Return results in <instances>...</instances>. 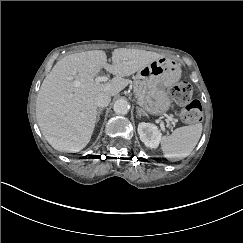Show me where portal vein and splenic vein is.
Listing matches in <instances>:
<instances>
[{
  "label": "portal vein and splenic vein",
  "instance_id": "obj_1",
  "mask_svg": "<svg viewBox=\"0 0 243 243\" xmlns=\"http://www.w3.org/2000/svg\"><path fill=\"white\" fill-rule=\"evenodd\" d=\"M97 81H108L109 77L108 76H103V77H97ZM159 122H162V119H159ZM160 128L163 133L169 134V131L167 130V126L163 123H160Z\"/></svg>",
  "mask_w": 243,
  "mask_h": 243
}]
</instances>
